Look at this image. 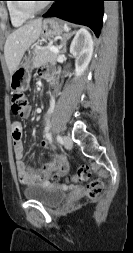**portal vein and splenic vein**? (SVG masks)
<instances>
[{"label":"portal vein and splenic vein","mask_w":133,"mask_h":253,"mask_svg":"<svg viewBox=\"0 0 133 253\" xmlns=\"http://www.w3.org/2000/svg\"><path fill=\"white\" fill-rule=\"evenodd\" d=\"M49 49H50L52 52L57 53V54L60 52L59 49H58L57 47H55V46H51Z\"/></svg>","instance_id":"portal-vein-and-splenic-vein-1"}]
</instances>
